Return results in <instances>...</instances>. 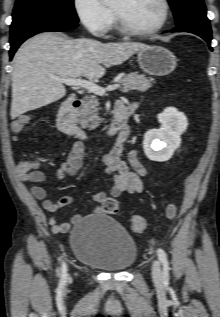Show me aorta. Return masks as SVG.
<instances>
[{
  "label": "aorta",
  "instance_id": "762f6f07",
  "mask_svg": "<svg viewBox=\"0 0 220 317\" xmlns=\"http://www.w3.org/2000/svg\"><path fill=\"white\" fill-rule=\"evenodd\" d=\"M116 0H103L104 3L106 4H111L114 3Z\"/></svg>",
  "mask_w": 220,
  "mask_h": 317
}]
</instances>
